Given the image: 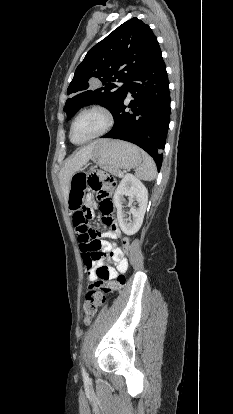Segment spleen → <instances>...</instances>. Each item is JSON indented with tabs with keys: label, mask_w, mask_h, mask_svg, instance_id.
I'll return each instance as SVG.
<instances>
[{
	"label": "spleen",
	"mask_w": 233,
	"mask_h": 414,
	"mask_svg": "<svg viewBox=\"0 0 233 414\" xmlns=\"http://www.w3.org/2000/svg\"><path fill=\"white\" fill-rule=\"evenodd\" d=\"M143 163L136 175L138 178L145 181H152L155 179L157 170L153 159L144 151H141Z\"/></svg>",
	"instance_id": "obj_1"
}]
</instances>
